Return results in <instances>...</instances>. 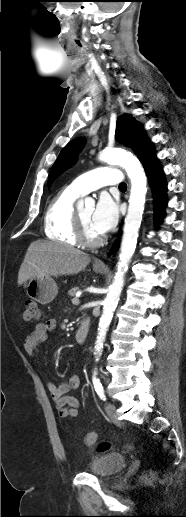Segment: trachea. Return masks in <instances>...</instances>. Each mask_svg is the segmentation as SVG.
Here are the masks:
<instances>
[{
	"mask_svg": "<svg viewBox=\"0 0 186 517\" xmlns=\"http://www.w3.org/2000/svg\"><path fill=\"white\" fill-rule=\"evenodd\" d=\"M119 188H120V189H126V188H127V185H126L125 183H121V184L119 185Z\"/></svg>",
	"mask_w": 186,
	"mask_h": 517,
	"instance_id": "trachea-1",
	"label": "trachea"
}]
</instances>
